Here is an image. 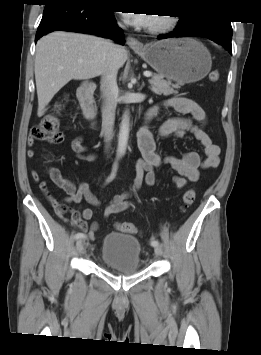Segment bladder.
Listing matches in <instances>:
<instances>
[{
    "mask_svg": "<svg viewBox=\"0 0 261 355\" xmlns=\"http://www.w3.org/2000/svg\"><path fill=\"white\" fill-rule=\"evenodd\" d=\"M141 246L136 237L120 233H108L104 237L101 260L110 269L132 274L141 269Z\"/></svg>",
    "mask_w": 261,
    "mask_h": 355,
    "instance_id": "31cf9c89",
    "label": "bladder"
}]
</instances>
